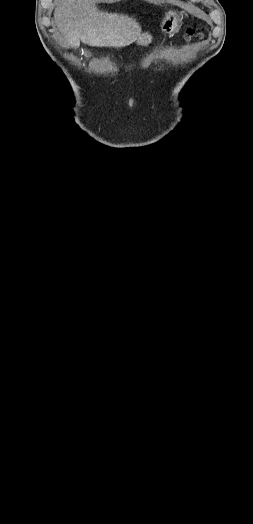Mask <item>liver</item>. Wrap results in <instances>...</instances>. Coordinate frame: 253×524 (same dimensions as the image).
Instances as JSON below:
<instances>
[{
    "mask_svg": "<svg viewBox=\"0 0 253 524\" xmlns=\"http://www.w3.org/2000/svg\"><path fill=\"white\" fill-rule=\"evenodd\" d=\"M54 19L67 48H78L80 41L97 47H125L141 35L135 19L100 11L92 0H57Z\"/></svg>",
    "mask_w": 253,
    "mask_h": 524,
    "instance_id": "liver-1",
    "label": "liver"
}]
</instances>
